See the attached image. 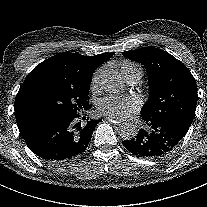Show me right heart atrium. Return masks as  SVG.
<instances>
[{
	"label": "right heart atrium",
	"instance_id": "right-heart-atrium-1",
	"mask_svg": "<svg viewBox=\"0 0 207 207\" xmlns=\"http://www.w3.org/2000/svg\"><path fill=\"white\" fill-rule=\"evenodd\" d=\"M105 67H102L100 69H98L92 76V80H91V87L93 89V91L98 92L101 89V77L102 74L104 72Z\"/></svg>",
	"mask_w": 207,
	"mask_h": 207
}]
</instances>
